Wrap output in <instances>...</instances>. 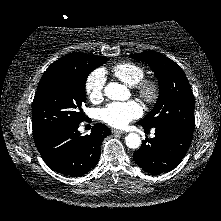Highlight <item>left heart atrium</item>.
Returning a JSON list of instances; mask_svg holds the SVG:
<instances>
[{
    "label": "left heart atrium",
    "instance_id": "39dd6f15",
    "mask_svg": "<svg viewBox=\"0 0 221 221\" xmlns=\"http://www.w3.org/2000/svg\"><path fill=\"white\" fill-rule=\"evenodd\" d=\"M100 119L116 128L125 127L132 120L142 115V108L134 100L126 102H112L100 110Z\"/></svg>",
    "mask_w": 221,
    "mask_h": 221
}]
</instances>
